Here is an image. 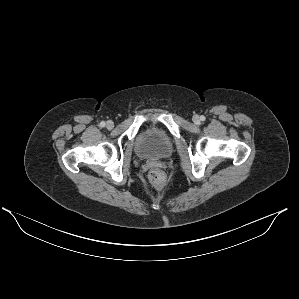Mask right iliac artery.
Wrapping results in <instances>:
<instances>
[{
  "instance_id": "1",
  "label": "right iliac artery",
  "mask_w": 299,
  "mask_h": 299,
  "mask_svg": "<svg viewBox=\"0 0 299 299\" xmlns=\"http://www.w3.org/2000/svg\"><path fill=\"white\" fill-rule=\"evenodd\" d=\"M104 126H105V122L102 121V122L100 123V127H104Z\"/></svg>"
}]
</instances>
